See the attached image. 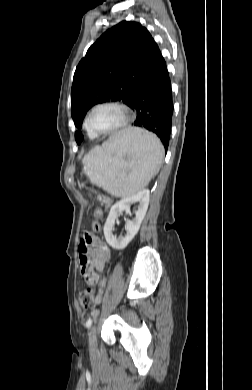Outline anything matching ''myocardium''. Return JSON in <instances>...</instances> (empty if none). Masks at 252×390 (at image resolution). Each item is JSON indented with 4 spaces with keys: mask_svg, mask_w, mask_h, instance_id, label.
Returning a JSON list of instances; mask_svg holds the SVG:
<instances>
[{
    "mask_svg": "<svg viewBox=\"0 0 252 390\" xmlns=\"http://www.w3.org/2000/svg\"><path fill=\"white\" fill-rule=\"evenodd\" d=\"M102 107H110V108L115 109L116 111H118V113L120 115V119L113 127L109 128L107 130L100 131V130H95L92 128L91 117L97 109L102 108ZM130 118H131V110L127 105H125L121 102H118V101L100 102V103L94 105L91 108V110L89 111L88 116L86 118V127L90 132L94 133L95 135H110V134H113V133L123 129L130 121Z\"/></svg>",
    "mask_w": 252,
    "mask_h": 390,
    "instance_id": "myocardium-1",
    "label": "myocardium"
}]
</instances>
